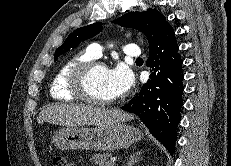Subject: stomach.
<instances>
[{"label": "stomach", "mask_w": 231, "mask_h": 166, "mask_svg": "<svg viewBox=\"0 0 231 166\" xmlns=\"http://www.w3.org/2000/svg\"><path fill=\"white\" fill-rule=\"evenodd\" d=\"M141 139L138 128L121 122L103 128H63L54 133L52 143L60 150L111 151L128 148Z\"/></svg>", "instance_id": "1"}]
</instances>
